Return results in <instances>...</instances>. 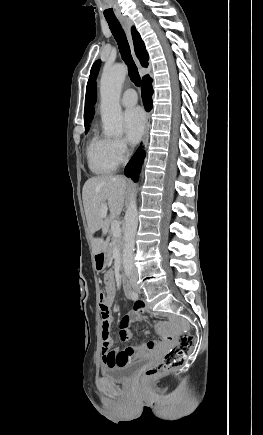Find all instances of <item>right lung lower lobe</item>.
Here are the masks:
<instances>
[{
    "label": "right lung lower lobe",
    "instance_id": "98d812e1",
    "mask_svg": "<svg viewBox=\"0 0 263 435\" xmlns=\"http://www.w3.org/2000/svg\"><path fill=\"white\" fill-rule=\"evenodd\" d=\"M142 99L145 109L149 111L152 108V79L149 76H145L142 80ZM141 147L138 148L125 169V175L131 177L134 181L138 179L140 173L141 164L144 159V154L141 156Z\"/></svg>",
    "mask_w": 263,
    "mask_h": 435
}]
</instances>
